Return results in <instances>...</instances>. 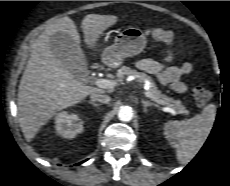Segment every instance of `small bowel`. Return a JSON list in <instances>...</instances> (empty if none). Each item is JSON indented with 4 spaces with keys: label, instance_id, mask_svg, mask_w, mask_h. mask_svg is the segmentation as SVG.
Masks as SVG:
<instances>
[{
    "label": "small bowel",
    "instance_id": "obj_1",
    "mask_svg": "<svg viewBox=\"0 0 230 186\" xmlns=\"http://www.w3.org/2000/svg\"><path fill=\"white\" fill-rule=\"evenodd\" d=\"M172 61V53L168 51L163 63L151 59H142L137 63V67L142 71L155 75L161 84L168 85L177 92H185L187 86L181 81V77L189 74L193 66L191 63L186 62L178 67L172 65Z\"/></svg>",
    "mask_w": 230,
    "mask_h": 186
}]
</instances>
